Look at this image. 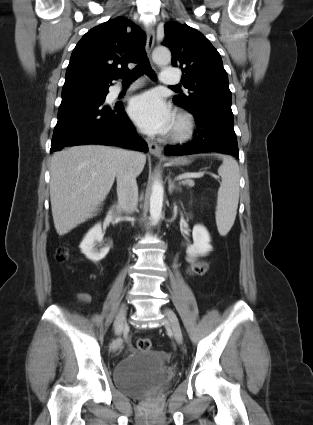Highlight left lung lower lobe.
I'll return each instance as SVG.
<instances>
[{
  "mask_svg": "<svg viewBox=\"0 0 313 425\" xmlns=\"http://www.w3.org/2000/svg\"><path fill=\"white\" fill-rule=\"evenodd\" d=\"M188 111L196 121L193 141L183 146H166V155L217 152L239 157L231 107L205 104Z\"/></svg>",
  "mask_w": 313,
  "mask_h": 425,
  "instance_id": "obj_1",
  "label": "left lung lower lobe"
}]
</instances>
